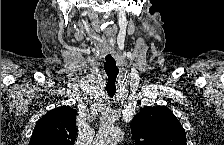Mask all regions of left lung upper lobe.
Segmentation results:
<instances>
[{
	"instance_id": "obj_1",
	"label": "left lung upper lobe",
	"mask_w": 224,
	"mask_h": 145,
	"mask_svg": "<svg viewBox=\"0 0 224 145\" xmlns=\"http://www.w3.org/2000/svg\"><path fill=\"white\" fill-rule=\"evenodd\" d=\"M136 145H186V133L164 106L144 107L130 124Z\"/></svg>"
}]
</instances>
